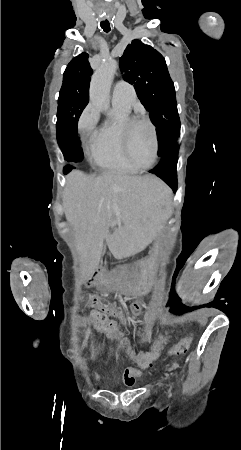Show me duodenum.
<instances>
[{"label":"duodenum","instance_id":"1","mask_svg":"<svg viewBox=\"0 0 241 450\" xmlns=\"http://www.w3.org/2000/svg\"><path fill=\"white\" fill-rule=\"evenodd\" d=\"M104 276V272L101 269H96L94 270V272L91 275L90 281L93 284L99 283L101 282V280L103 279Z\"/></svg>","mask_w":241,"mask_h":450}]
</instances>
